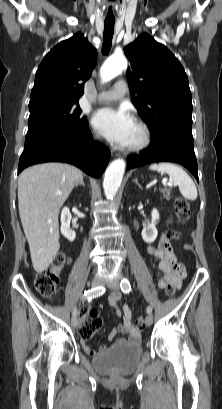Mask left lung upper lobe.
<instances>
[{
    "instance_id": "1",
    "label": "left lung upper lobe",
    "mask_w": 222,
    "mask_h": 409,
    "mask_svg": "<svg viewBox=\"0 0 222 409\" xmlns=\"http://www.w3.org/2000/svg\"><path fill=\"white\" fill-rule=\"evenodd\" d=\"M132 102L151 134L166 126L192 129L188 77L178 59L148 34L124 48Z\"/></svg>"
}]
</instances>
